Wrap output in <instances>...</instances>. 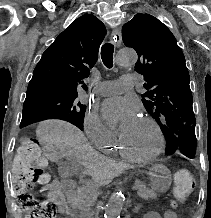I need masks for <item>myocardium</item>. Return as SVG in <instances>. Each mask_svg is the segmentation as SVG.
Returning <instances> with one entry per match:
<instances>
[{
	"instance_id": "myocardium-1",
	"label": "myocardium",
	"mask_w": 211,
	"mask_h": 218,
	"mask_svg": "<svg viewBox=\"0 0 211 218\" xmlns=\"http://www.w3.org/2000/svg\"><path fill=\"white\" fill-rule=\"evenodd\" d=\"M142 118L147 120L154 127V129L158 135L159 146H158L157 150L154 151L152 154L142 156V155H138V154L132 152L131 150L127 149L122 138H119L117 143H118V147L120 149V152L123 156H125L126 158L131 159L133 161H136V162L145 163V162H151V161L156 160L163 152L164 134H163L162 128L160 127V125L158 124V122L154 118H152L150 116H144Z\"/></svg>"
}]
</instances>
